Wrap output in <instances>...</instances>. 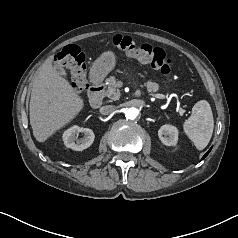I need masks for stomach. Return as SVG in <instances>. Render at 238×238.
Wrapping results in <instances>:
<instances>
[{
    "label": "stomach",
    "mask_w": 238,
    "mask_h": 238,
    "mask_svg": "<svg viewBox=\"0 0 238 238\" xmlns=\"http://www.w3.org/2000/svg\"><path fill=\"white\" fill-rule=\"evenodd\" d=\"M116 64V56L112 51H107L101 54V56L95 61L91 69L92 81H98L103 79L110 73Z\"/></svg>",
    "instance_id": "stomach-1"
}]
</instances>
